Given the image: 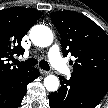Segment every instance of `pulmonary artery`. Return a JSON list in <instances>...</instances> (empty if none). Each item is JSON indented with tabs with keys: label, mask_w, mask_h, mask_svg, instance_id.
<instances>
[{
	"label": "pulmonary artery",
	"mask_w": 108,
	"mask_h": 108,
	"mask_svg": "<svg viewBox=\"0 0 108 108\" xmlns=\"http://www.w3.org/2000/svg\"><path fill=\"white\" fill-rule=\"evenodd\" d=\"M48 57L51 64L61 73L69 75L71 73L66 62L60 56V51L58 45H53L48 52Z\"/></svg>",
	"instance_id": "e3ab8cb5"
}]
</instances>
